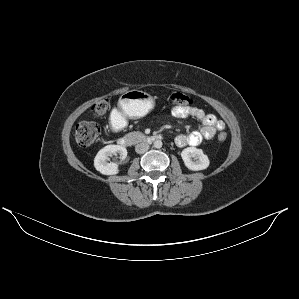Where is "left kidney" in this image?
<instances>
[{
    "mask_svg": "<svg viewBox=\"0 0 299 299\" xmlns=\"http://www.w3.org/2000/svg\"><path fill=\"white\" fill-rule=\"evenodd\" d=\"M181 157L185 166L192 171L204 170L210 164L208 156L203 153V150L195 147H188L182 150ZM191 158L196 159V161H192Z\"/></svg>",
    "mask_w": 299,
    "mask_h": 299,
    "instance_id": "5707ae66",
    "label": "left kidney"
}]
</instances>
